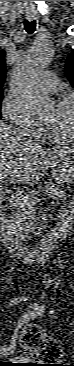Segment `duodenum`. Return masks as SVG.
<instances>
[{
  "mask_svg": "<svg viewBox=\"0 0 74 366\" xmlns=\"http://www.w3.org/2000/svg\"><path fill=\"white\" fill-rule=\"evenodd\" d=\"M1 237L4 243L9 245L11 249L17 251L19 253V256L23 257L26 261L30 257L33 258L34 252L30 248L22 245L13 237L10 223L5 222V224L3 225ZM60 238L61 234L59 233L46 234L38 245V251L40 253L50 252Z\"/></svg>",
  "mask_w": 74,
  "mask_h": 366,
  "instance_id": "410a0bca",
  "label": "duodenum"
}]
</instances>
